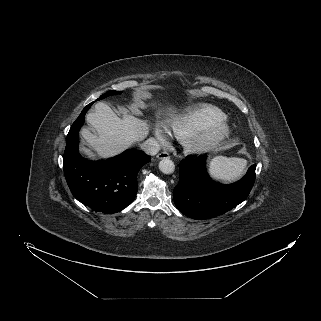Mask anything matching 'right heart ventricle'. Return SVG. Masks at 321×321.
Wrapping results in <instances>:
<instances>
[{"label": "right heart ventricle", "instance_id": "right-heart-ventricle-1", "mask_svg": "<svg viewBox=\"0 0 321 321\" xmlns=\"http://www.w3.org/2000/svg\"><path fill=\"white\" fill-rule=\"evenodd\" d=\"M225 118L216 106L202 105L187 109L167 122V128L178 139H186L202 127Z\"/></svg>", "mask_w": 321, "mask_h": 321}]
</instances>
